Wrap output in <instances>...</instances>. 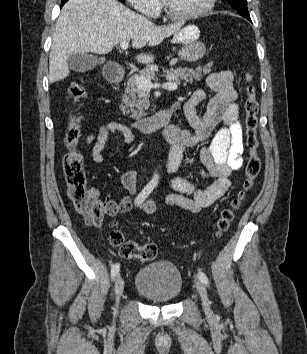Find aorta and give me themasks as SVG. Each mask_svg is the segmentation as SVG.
Masks as SVG:
<instances>
[{"label":"aorta","mask_w":307,"mask_h":354,"mask_svg":"<svg viewBox=\"0 0 307 354\" xmlns=\"http://www.w3.org/2000/svg\"><path fill=\"white\" fill-rule=\"evenodd\" d=\"M159 178H160L159 174L155 172L152 177L151 183L157 185L159 183Z\"/></svg>","instance_id":"obj_1"}]
</instances>
